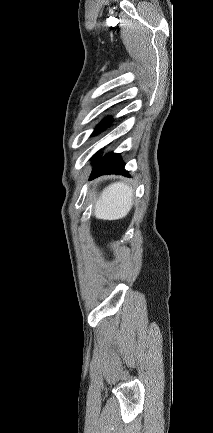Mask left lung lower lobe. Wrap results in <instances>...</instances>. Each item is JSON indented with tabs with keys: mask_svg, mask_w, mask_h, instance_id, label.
<instances>
[{
	"mask_svg": "<svg viewBox=\"0 0 213 433\" xmlns=\"http://www.w3.org/2000/svg\"><path fill=\"white\" fill-rule=\"evenodd\" d=\"M94 168L90 175V180L105 174H124L128 172L124 169V163L120 158V154H108L101 159L94 158Z\"/></svg>",
	"mask_w": 213,
	"mask_h": 433,
	"instance_id": "0a47b994",
	"label": "left lung lower lobe"
}]
</instances>
